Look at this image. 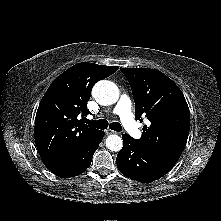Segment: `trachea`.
Here are the masks:
<instances>
[{"mask_svg":"<svg viewBox=\"0 0 221 221\" xmlns=\"http://www.w3.org/2000/svg\"><path fill=\"white\" fill-rule=\"evenodd\" d=\"M86 123L93 126V127L98 128V129H106L109 126V128L114 130V131H121L122 130V127H121L120 123L112 122L109 125L108 121L106 119H100V120H97V121L86 120Z\"/></svg>","mask_w":221,"mask_h":221,"instance_id":"1","label":"trachea"}]
</instances>
